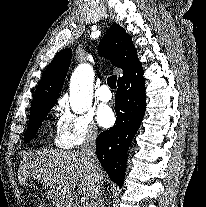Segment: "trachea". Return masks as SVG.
Returning <instances> with one entry per match:
<instances>
[{"label":"trachea","mask_w":206,"mask_h":207,"mask_svg":"<svg viewBox=\"0 0 206 207\" xmlns=\"http://www.w3.org/2000/svg\"><path fill=\"white\" fill-rule=\"evenodd\" d=\"M116 81H117V76L112 75L107 79V84L111 89H116Z\"/></svg>","instance_id":"trachea-1"}]
</instances>
